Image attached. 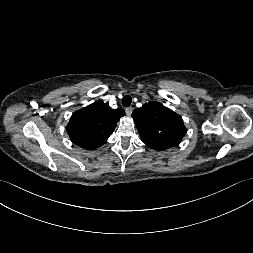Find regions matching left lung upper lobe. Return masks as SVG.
Masks as SVG:
<instances>
[{
	"label": "left lung upper lobe",
	"instance_id": "5c2ea615",
	"mask_svg": "<svg viewBox=\"0 0 253 253\" xmlns=\"http://www.w3.org/2000/svg\"><path fill=\"white\" fill-rule=\"evenodd\" d=\"M132 117L142 141L158 151L178 145L186 133L182 118L158 102L135 109Z\"/></svg>",
	"mask_w": 253,
	"mask_h": 253
}]
</instances>
